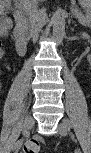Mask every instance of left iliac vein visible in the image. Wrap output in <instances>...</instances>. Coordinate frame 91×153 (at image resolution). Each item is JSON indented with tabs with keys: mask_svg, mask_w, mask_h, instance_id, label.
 Returning a JSON list of instances; mask_svg holds the SVG:
<instances>
[{
	"mask_svg": "<svg viewBox=\"0 0 91 153\" xmlns=\"http://www.w3.org/2000/svg\"><path fill=\"white\" fill-rule=\"evenodd\" d=\"M66 124H67L66 121H64V122H61L59 124V126H58L60 134L62 136H66L67 135L68 130H67Z\"/></svg>",
	"mask_w": 91,
	"mask_h": 153,
	"instance_id": "1",
	"label": "left iliac vein"
}]
</instances>
